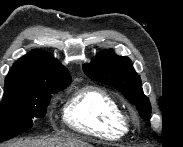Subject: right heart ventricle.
<instances>
[{
    "mask_svg": "<svg viewBox=\"0 0 183 147\" xmlns=\"http://www.w3.org/2000/svg\"><path fill=\"white\" fill-rule=\"evenodd\" d=\"M121 109L106 90L86 86L75 92L66 102L63 119L72 130L84 135L118 139L127 133L119 122Z\"/></svg>",
    "mask_w": 183,
    "mask_h": 147,
    "instance_id": "e07e8e85",
    "label": "right heart ventricle"
}]
</instances>
